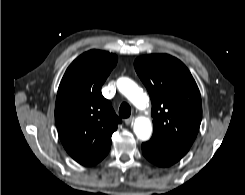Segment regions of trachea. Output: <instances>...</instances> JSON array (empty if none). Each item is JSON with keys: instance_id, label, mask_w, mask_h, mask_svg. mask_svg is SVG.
<instances>
[{"instance_id": "1", "label": "trachea", "mask_w": 245, "mask_h": 195, "mask_svg": "<svg viewBox=\"0 0 245 195\" xmlns=\"http://www.w3.org/2000/svg\"><path fill=\"white\" fill-rule=\"evenodd\" d=\"M131 114V108L129 104L127 103H122L120 108H119V116L122 118H128Z\"/></svg>"}]
</instances>
